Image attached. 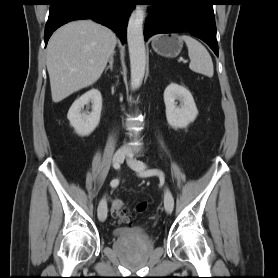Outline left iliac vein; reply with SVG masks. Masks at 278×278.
I'll list each match as a JSON object with an SVG mask.
<instances>
[{"mask_svg":"<svg viewBox=\"0 0 278 278\" xmlns=\"http://www.w3.org/2000/svg\"><path fill=\"white\" fill-rule=\"evenodd\" d=\"M127 164L135 171L139 173L146 172L147 166L140 160L128 158ZM164 207L167 213H171L174 207V198L169 188L165 189L164 193Z\"/></svg>","mask_w":278,"mask_h":278,"instance_id":"1","label":"left iliac vein"}]
</instances>
